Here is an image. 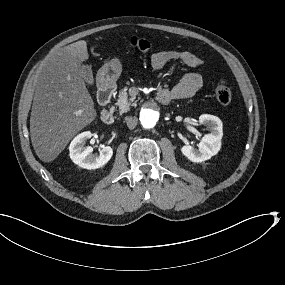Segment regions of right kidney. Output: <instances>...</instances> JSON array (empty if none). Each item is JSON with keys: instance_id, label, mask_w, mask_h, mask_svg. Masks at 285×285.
I'll return each mask as SVG.
<instances>
[{"instance_id": "ca27d5eb", "label": "right kidney", "mask_w": 285, "mask_h": 285, "mask_svg": "<svg viewBox=\"0 0 285 285\" xmlns=\"http://www.w3.org/2000/svg\"><path fill=\"white\" fill-rule=\"evenodd\" d=\"M91 138L90 132H83L76 136L70 144V158L74 164L88 170H94L105 166L113 156V149L110 146L102 148L99 155H92V147L85 146Z\"/></svg>"}]
</instances>
